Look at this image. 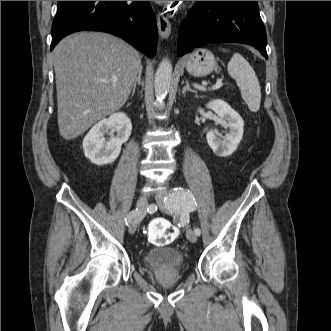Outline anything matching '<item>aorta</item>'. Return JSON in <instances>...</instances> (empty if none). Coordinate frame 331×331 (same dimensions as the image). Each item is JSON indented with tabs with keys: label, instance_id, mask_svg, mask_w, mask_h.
Masks as SVG:
<instances>
[{
	"label": "aorta",
	"instance_id": "obj_1",
	"mask_svg": "<svg viewBox=\"0 0 331 331\" xmlns=\"http://www.w3.org/2000/svg\"><path fill=\"white\" fill-rule=\"evenodd\" d=\"M172 79V65L168 59H163L155 73L154 88L157 101L155 103L157 108L164 106L163 99L170 89Z\"/></svg>",
	"mask_w": 331,
	"mask_h": 331
}]
</instances>
